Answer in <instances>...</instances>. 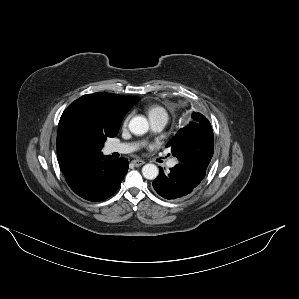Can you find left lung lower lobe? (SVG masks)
Listing matches in <instances>:
<instances>
[{"label":"left lung lower lobe","instance_id":"left-lung-lower-lobe-1","mask_svg":"<svg viewBox=\"0 0 299 299\" xmlns=\"http://www.w3.org/2000/svg\"><path fill=\"white\" fill-rule=\"evenodd\" d=\"M206 171L178 163L164 173L160 167V174L153 181L155 191L163 198L171 200L181 198L191 193L203 180Z\"/></svg>","mask_w":299,"mask_h":299}]
</instances>
